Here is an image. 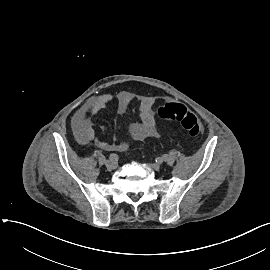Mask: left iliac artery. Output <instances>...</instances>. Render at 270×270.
Masks as SVG:
<instances>
[{
  "mask_svg": "<svg viewBox=\"0 0 270 270\" xmlns=\"http://www.w3.org/2000/svg\"><path fill=\"white\" fill-rule=\"evenodd\" d=\"M162 161L171 162L172 158L169 155L165 154L162 156V158H158V162H162ZM156 162H157V160H156Z\"/></svg>",
  "mask_w": 270,
  "mask_h": 270,
  "instance_id": "44dca946",
  "label": "left iliac artery"
}]
</instances>
